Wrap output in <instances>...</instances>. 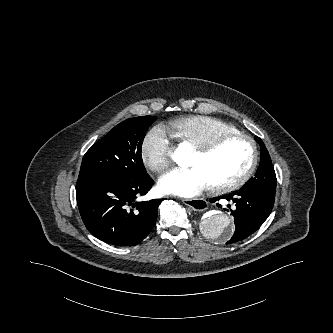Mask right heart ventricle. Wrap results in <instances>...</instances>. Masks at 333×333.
<instances>
[{
  "label": "right heart ventricle",
  "instance_id": "1",
  "mask_svg": "<svg viewBox=\"0 0 333 333\" xmlns=\"http://www.w3.org/2000/svg\"><path fill=\"white\" fill-rule=\"evenodd\" d=\"M171 135L180 143L196 146L220 134L236 133L232 125L219 119L189 115L174 119L168 123Z\"/></svg>",
  "mask_w": 333,
  "mask_h": 333
}]
</instances>
